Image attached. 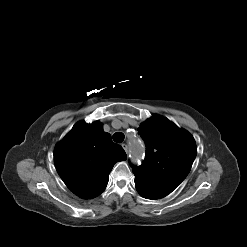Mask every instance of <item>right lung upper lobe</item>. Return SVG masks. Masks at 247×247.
<instances>
[{"label": "right lung upper lobe", "mask_w": 247, "mask_h": 247, "mask_svg": "<svg viewBox=\"0 0 247 247\" xmlns=\"http://www.w3.org/2000/svg\"><path fill=\"white\" fill-rule=\"evenodd\" d=\"M126 158L123 148L112 142L99 121L78 122L54 151L59 176L83 199L100 195L107 186L113 165Z\"/></svg>", "instance_id": "right-lung-upper-lobe-1"}]
</instances>
